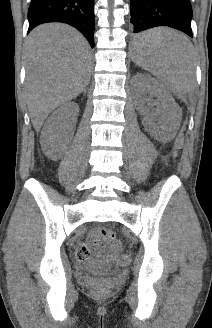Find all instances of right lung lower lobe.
Listing matches in <instances>:
<instances>
[{
	"instance_id": "right-lung-lower-lobe-1",
	"label": "right lung lower lobe",
	"mask_w": 212,
	"mask_h": 328,
	"mask_svg": "<svg viewBox=\"0 0 212 328\" xmlns=\"http://www.w3.org/2000/svg\"><path fill=\"white\" fill-rule=\"evenodd\" d=\"M28 20V32L46 22L67 23L94 47V0H31Z\"/></svg>"
}]
</instances>
